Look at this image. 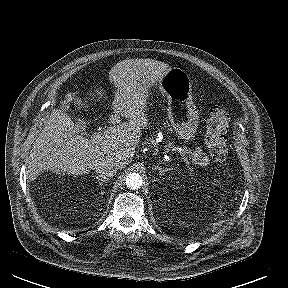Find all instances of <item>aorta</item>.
Listing matches in <instances>:
<instances>
[{
	"label": "aorta",
	"mask_w": 288,
	"mask_h": 288,
	"mask_svg": "<svg viewBox=\"0 0 288 288\" xmlns=\"http://www.w3.org/2000/svg\"><path fill=\"white\" fill-rule=\"evenodd\" d=\"M125 183L129 189L136 190L142 186L143 179L139 173H130L127 175Z\"/></svg>",
	"instance_id": "aorta-1"
}]
</instances>
